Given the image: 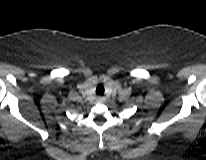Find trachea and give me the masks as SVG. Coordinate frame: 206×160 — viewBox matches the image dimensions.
I'll return each instance as SVG.
<instances>
[{
  "mask_svg": "<svg viewBox=\"0 0 206 160\" xmlns=\"http://www.w3.org/2000/svg\"><path fill=\"white\" fill-rule=\"evenodd\" d=\"M96 94L102 96L104 94V86L99 84L96 88Z\"/></svg>",
  "mask_w": 206,
  "mask_h": 160,
  "instance_id": "obj_1",
  "label": "trachea"
}]
</instances>
